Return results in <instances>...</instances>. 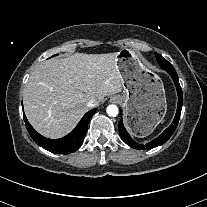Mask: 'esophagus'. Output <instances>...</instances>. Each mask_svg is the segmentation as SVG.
<instances>
[{"label": "esophagus", "instance_id": "esophagus-1", "mask_svg": "<svg viewBox=\"0 0 207 207\" xmlns=\"http://www.w3.org/2000/svg\"><path fill=\"white\" fill-rule=\"evenodd\" d=\"M112 100H115V98H113ZM113 102H115V103H116V101H113Z\"/></svg>", "mask_w": 207, "mask_h": 207}]
</instances>
